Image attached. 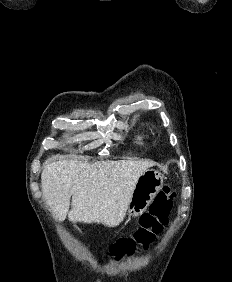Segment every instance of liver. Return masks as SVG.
Instances as JSON below:
<instances>
[{"label":"liver","mask_w":232,"mask_h":282,"mask_svg":"<svg viewBox=\"0 0 232 282\" xmlns=\"http://www.w3.org/2000/svg\"><path fill=\"white\" fill-rule=\"evenodd\" d=\"M153 165L146 160H48L41 174L43 197L59 222L68 216L73 223L113 228L123 221L138 178Z\"/></svg>","instance_id":"1"}]
</instances>
